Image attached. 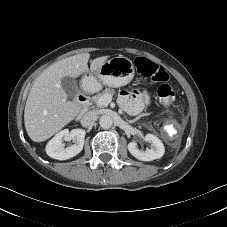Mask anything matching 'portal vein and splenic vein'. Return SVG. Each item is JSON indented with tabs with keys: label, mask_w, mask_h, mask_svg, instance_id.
I'll use <instances>...</instances> for the list:
<instances>
[{
	"label": "portal vein and splenic vein",
	"mask_w": 227,
	"mask_h": 227,
	"mask_svg": "<svg viewBox=\"0 0 227 227\" xmlns=\"http://www.w3.org/2000/svg\"><path fill=\"white\" fill-rule=\"evenodd\" d=\"M112 101V95L105 94L102 98L99 99L98 103L101 105L107 106Z\"/></svg>",
	"instance_id": "obj_1"
}]
</instances>
